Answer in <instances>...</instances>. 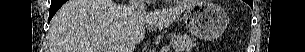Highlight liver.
<instances>
[{
    "label": "liver",
    "instance_id": "liver-1",
    "mask_svg": "<svg viewBox=\"0 0 305 52\" xmlns=\"http://www.w3.org/2000/svg\"><path fill=\"white\" fill-rule=\"evenodd\" d=\"M192 4L128 16L112 0H69L51 20L49 52H118L123 41L140 43L145 25L168 27Z\"/></svg>",
    "mask_w": 305,
    "mask_h": 52
}]
</instances>
